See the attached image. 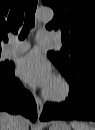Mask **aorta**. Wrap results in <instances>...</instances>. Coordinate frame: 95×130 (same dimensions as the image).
I'll return each mask as SVG.
<instances>
[{"label":"aorta","mask_w":95,"mask_h":130,"mask_svg":"<svg viewBox=\"0 0 95 130\" xmlns=\"http://www.w3.org/2000/svg\"><path fill=\"white\" fill-rule=\"evenodd\" d=\"M53 16L54 12L49 7H41L36 11V19L41 22H50Z\"/></svg>","instance_id":"1"}]
</instances>
